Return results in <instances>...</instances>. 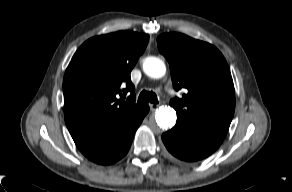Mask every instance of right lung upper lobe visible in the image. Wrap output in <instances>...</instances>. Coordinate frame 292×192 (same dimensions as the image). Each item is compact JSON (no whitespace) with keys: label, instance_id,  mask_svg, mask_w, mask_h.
<instances>
[{"label":"right lung upper lobe","instance_id":"right-lung-upper-lobe-1","mask_svg":"<svg viewBox=\"0 0 292 192\" xmlns=\"http://www.w3.org/2000/svg\"><path fill=\"white\" fill-rule=\"evenodd\" d=\"M148 41L147 34L119 31L90 38L80 46L63 80L69 131L110 126L141 111L143 105L135 104L130 72ZM128 91L127 102L118 99V94L125 96Z\"/></svg>","mask_w":292,"mask_h":192}]
</instances>
